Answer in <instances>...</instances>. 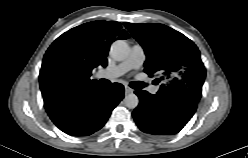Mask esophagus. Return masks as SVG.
<instances>
[{"mask_svg": "<svg viewBox=\"0 0 248 158\" xmlns=\"http://www.w3.org/2000/svg\"><path fill=\"white\" fill-rule=\"evenodd\" d=\"M133 92V89H131L130 87L128 86H125V94H130Z\"/></svg>", "mask_w": 248, "mask_h": 158, "instance_id": "obj_1", "label": "esophagus"}]
</instances>
